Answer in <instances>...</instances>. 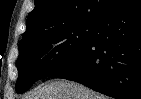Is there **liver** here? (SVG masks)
I'll use <instances>...</instances> for the list:
<instances>
[{"label": "liver", "instance_id": "6515ba94", "mask_svg": "<svg viewBox=\"0 0 141 99\" xmlns=\"http://www.w3.org/2000/svg\"><path fill=\"white\" fill-rule=\"evenodd\" d=\"M27 99H109L88 87L69 80H52L35 88Z\"/></svg>", "mask_w": 141, "mask_h": 99}]
</instances>
